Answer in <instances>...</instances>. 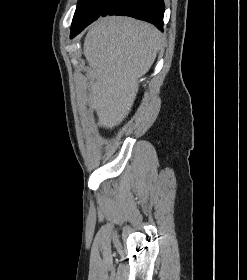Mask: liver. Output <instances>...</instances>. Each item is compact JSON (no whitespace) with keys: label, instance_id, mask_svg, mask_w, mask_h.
Returning <instances> with one entry per match:
<instances>
[{"label":"liver","instance_id":"6515ba94","mask_svg":"<svg viewBox=\"0 0 247 280\" xmlns=\"http://www.w3.org/2000/svg\"><path fill=\"white\" fill-rule=\"evenodd\" d=\"M162 43L156 27L130 17H104L90 26L84 56L91 68L90 106L100 127L112 129L128 116L138 79L151 68Z\"/></svg>","mask_w":247,"mask_h":280}]
</instances>
